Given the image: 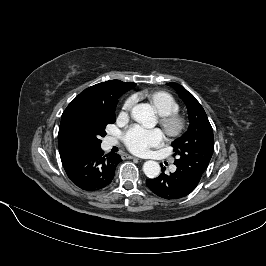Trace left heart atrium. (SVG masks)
<instances>
[{
    "label": "left heart atrium",
    "instance_id": "39dd6f15",
    "mask_svg": "<svg viewBox=\"0 0 266 266\" xmlns=\"http://www.w3.org/2000/svg\"><path fill=\"white\" fill-rule=\"evenodd\" d=\"M163 133L158 129H146L139 125L129 127L124 134L126 146L134 153L144 155L152 147L161 145Z\"/></svg>",
    "mask_w": 266,
    "mask_h": 266
}]
</instances>
